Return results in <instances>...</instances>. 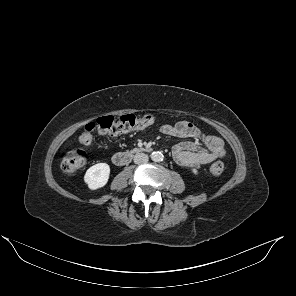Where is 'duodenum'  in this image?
Returning a JSON list of instances; mask_svg holds the SVG:
<instances>
[{
	"label": "duodenum",
	"mask_w": 296,
	"mask_h": 296,
	"mask_svg": "<svg viewBox=\"0 0 296 296\" xmlns=\"http://www.w3.org/2000/svg\"><path fill=\"white\" fill-rule=\"evenodd\" d=\"M149 151H151V148L144 147L138 151L118 152V153L114 154V156H113V163L116 166H124L132 160V158L134 157V155L136 153H139V152L145 153V152H149Z\"/></svg>",
	"instance_id": "duodenum-1"
}]
</instances>
